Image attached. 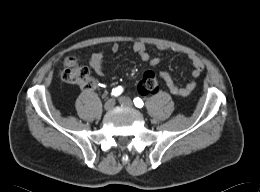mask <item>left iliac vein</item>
<instances>
[{
	"label": "left iliac vein",
	"instance_id": "4c4485c4",
	"mask_svg": "<svg viewBox=\"0 0 260 192\" xmlns=\"http://www.w3.org/2000/svg\"><path fill=\"white\" fill-rule=\"evenodd\" d=\"M119 103L121 105L127 106V107H132L133 106V102L130 98L126 97V96H121L118 99Z\"/></svg>",
	"mask_w": 260,
	"mask_h": 192
}]
</instances>
